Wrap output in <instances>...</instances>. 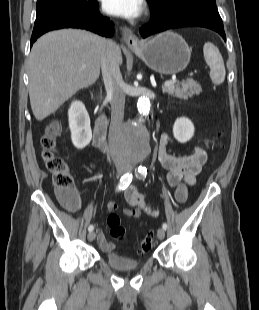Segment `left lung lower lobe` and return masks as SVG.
Returning <instances> with one entry per match:
<instances>
[{"label": "left lung lower lobe", "mask_w": 259, "mask_h": 310, "mask_svg": "<svg viewBox=\"0 0 259 310\" xmlns=\"http://www.w3.org/2000/svg\"><path fill=\"white\" fill-rule=\"evenodd\" d=\"M199 26L212 29L226 41L222 19L217 9L192 8L171 17L151 21L140 28L143 38L168 29Z\"/></svg>", "instance_id": "obj_1"}]
</instances>
